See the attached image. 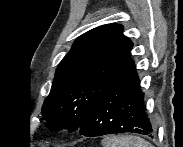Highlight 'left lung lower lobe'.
Here are the masks:
<instances>
[{
  "instance_id": "1",
  "label": "left lung lower lobe",
  "mask_w": 183,
  "mask_h": 147,
  "mask_svg": "<svg viewBox=\"0 0 183 147\" xmlns=\"http://www.w3.org/2000/svg\"><path fill=\"white\" fill-rule=\"evenodd\" d=\"M79 132L88 137L124 132L153 137L155 128L145 112L144 93L135 67L100 97Z\"/></svg>"
}]
</instances>
